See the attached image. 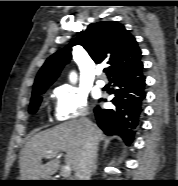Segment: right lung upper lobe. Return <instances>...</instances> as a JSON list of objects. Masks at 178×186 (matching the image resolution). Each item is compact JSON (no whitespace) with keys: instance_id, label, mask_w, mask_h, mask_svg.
I'll return each instance as SVG.
<instances>
[{"instance_id":"cb5924a9","label":"right lung upper lobe","mask_w":178,"mask_h":186,"mask_svg":"<svg viewBox=\"0 0 178 186\" xmlns=\"http://www.w3.org/2000/svg\"><path fill=\"white\" fill-rule=\"evenodd\" d=\"M82 45L95 63H107L112 77L127 66L140 61L141 50L135 38L120 23L102 21L90 24L69 46L51 55L37 74L33 95L47 89L71 59V46Z\"/></svg>"}]
</instances>
